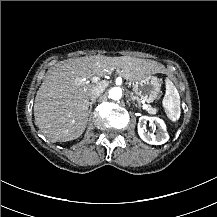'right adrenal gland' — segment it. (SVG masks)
I'll list each match as a JSON object with an SVG mask.
<instances>
[{
  "mask_svg": "<svg viewBox=\"0 0 217 217\" xmlns=\"http://www.w3.org/2000/svg\"><path fill=\"white\" fill-rule=\"evenodd\" d=\"M95 104V101H92L89 103V106H90V110L92 109V106Z\"/></svg>",
  "mask_w": 217,
  "mask_h": 217,
  "instance_id": "2a0ac1e0",
  "label": "right adrenal gland"
}]
</instances>
